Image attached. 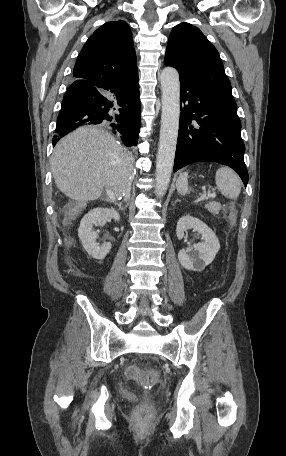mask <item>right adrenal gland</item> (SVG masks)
Instances as JSON below:
<instances>
[{
    "label": "right adrenal gland",
    "mask_w": 286,
    "mask_h": 456,
    "mask_svg": "<svg viewBox=\"0 0 286 456\" xmlns=\"http://www.w3.org/2000/svg\"><path fill=\"white\" fill-rule=\"evenodd\" d=\"M117 205H118L119 209L122 211H125L126 208L128 207V203L126 205H122V203H118Z\"/></svg>",
    "instance_id": "1"
}]
</instances>
